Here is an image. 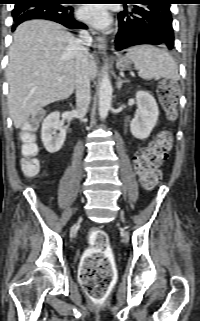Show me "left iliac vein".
I'll list each match as a JSON object with an SVG mask.
<instances>
[{
	"label": "left iliac vein",
	"instance_id": "obj_1",
	"mask_svg": "<svg viewBox=\"0 0 200 321\" xmlns=\"http://www.w3.org/2000/svg\"><path fill=\"white\" fill-rule=\"evenodd\" d=\"M121 220H122V221H124V217H123V215H121Z\"/></svg>",
	"mask_w": 200,
	"mask_h": 321
}]
</instances>
